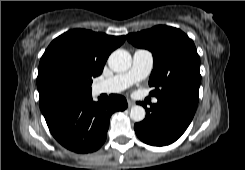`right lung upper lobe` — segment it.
Wrapping results in <instances>:
<instances>
[{"mask_svg":"<svg viewBox=\"0 0 245 170\" xmlns=\"http://www.w3.org/2000/svg\"><path fill=\"white\" fill-rule=\"evenodd\" d=\"M124 41L125 36H109L84 29L70 30L54 39L44 52L38 69L37 88L44 117L91 95V78L102 73L110 53ZM57 77L76 80L81 85L80 93L70 98L55 94L51 83Z\"/></svg>","mask_w":245,"mask_h":170,"instance_id":"right-lung-upper-lobe-1","label":"right lung upper lobe"}]
</instances>
